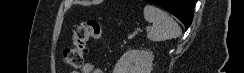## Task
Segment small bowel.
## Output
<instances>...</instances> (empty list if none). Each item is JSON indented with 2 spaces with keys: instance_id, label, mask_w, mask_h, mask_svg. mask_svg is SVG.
I'll use <instances>...</instances> for the list:
<instances>
[{
  "instance_id": "obj_1",
  "label": "small bowel",
  "mask_w": 244,
  "mask_h": 73,
  "mask_svg": "<svg viewBox=\"0 0 244 73\" xmlns=\"http://www.w3.org/2000/svg\"><path fill=\"white\" fill-rule=\"evenodd\" d=\"M79 73H102V71L95 67L92 63H86Z\"/></svg>"
}]
</instances>
